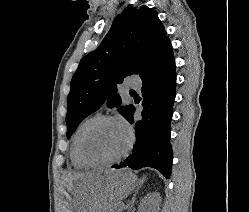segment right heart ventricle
<instances>
[{
    "label": "right heart ventricle",
    "mask_w": 249,
    "mask_h": 212,
    "mask_svg": "<svg viewBox=\"0 0 249 212\" xmlns=\"http://www.w3.org/2000/svg\"><path fill=\"white\" fill-rule=\"evenodd\" d=\"M95 118V115H90L88 117H86L85 119H83L80 124L77 126L75 132L73 133L70 145H69V161L71 166L76 169V170H81L84 169L86 166L83 165L78 157H77V153H76V144H77V140L82 132V130L84 129V127Z\"/></svg>",
    "instance_id": "1"
}]
</instances>
